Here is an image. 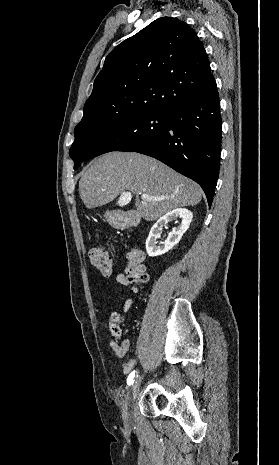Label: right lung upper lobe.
I'll list each match as a JSON object with an SVG mask.
<instances>
[{
  "mask_svg": "<svg viewBox=\"0 0 279 465\" xmlns=\"http://www.w3.org/2000/svg\"><path fill=\"white\" fill-rule=\"evenodd\" d=\"M214 80L195 31L178 19L159 18L109 53L76 128L167 112L204 94Z\"/></svg>",
  "mask_w": 279,
  "mask_h": 465,
  "instance_id": "cb5924a9",
  "label": "right lung upper lobe"
}]
</instances>
